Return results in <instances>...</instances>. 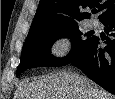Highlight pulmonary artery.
<instances>
[{"instance_id": "e3ab8cb5", "label": "pulmonary artery", "mask_w": 115, "mask_h": 99, "mask_svg": "<svg viewBox=\"0 0 115 99\" xmlns=\"http://www.w3.org/2000/svg\"><path fill=\"white\" fill-rule=\"evenodd\" d=\"M98 25H99V23H98V21L97 20H95V19H93V20H91V22H90V26L91 27H98Z\"/></svg>"}]
</instances>
